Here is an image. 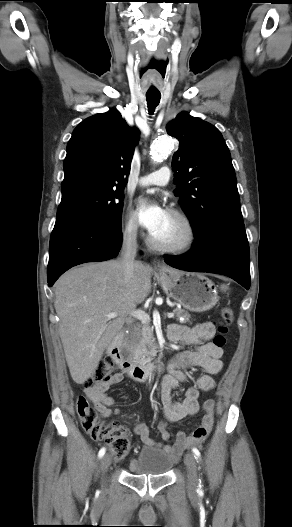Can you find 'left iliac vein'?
I'll return each mask as SVG.
<instances>
[{"instance_id": "left-iliac-vein-1", "label": "left iliac vein", "mask_w": 292, "mask_h": 527, "mask_svg": "<svg viewBox=\"0 0 292 527\" xmlns=\"http://www.w3.org/2000/svg\"><path fill=\"white\" fill-rule=\"evenodd\" d=\"M184 461H185V464L187 466V471H188L187 487L190 492H194L196 489L197 480H198L196 460L192 454L187 453L185 455Z\"/></svg>"}]
</instances>
